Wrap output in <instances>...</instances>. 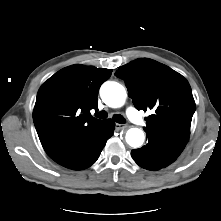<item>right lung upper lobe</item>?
<instances>
[{"mask_svg":"<svg viewBox=\"0 0 221 221\" xmlns=\"http://www.w3.org/2000/svg\"><path fill=\"white\" fill-rule=\"evenodd\" d=\"M112 69L72 65L49 78L39 89L33 121L46 153L57 159L104 120L90 115L98 109V90Z\"/></svg>","mask_w":221,"mask_h":221,"instance_id":"1","label":"right lung upper lobe"}]
</instances>
